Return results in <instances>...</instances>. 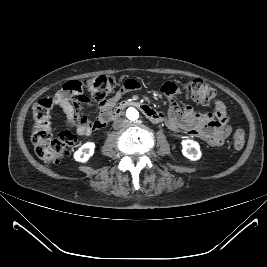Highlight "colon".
Returning <instances> with one entry per match:
<instances>
[{
  "instance_id": "5ec220e1",
  "label": "colon",
  "mask_w": 267,
  "mask_h": 267,
  "mask_svg": "<svg viewBox=\"0 0 267 267\" xmlns=\"http://www.w3.org/2000/svg\"><path fill=\"white\" fill-rule=\"evenodd\" d=\"M83 86L92 99L102 104L114 91L117 82L111 76L99 75L86 79ZM181 86L186 96L198 104L208 105L217 97L216 90L201 79L183 81ZM52 107L51 98L41 99L33 107L34 127L31 140L36 155L48 163L60 161L76 141L75 135L69 129L61 131L56 137L53 136L49 120ZM76 124L77 121L69 120L70 127ZM232 142L235 149H242L245 144V131L241 128L237 129L233 134Z\"/></svg>"
}]
</instances>
